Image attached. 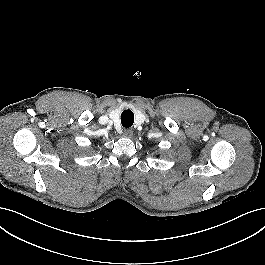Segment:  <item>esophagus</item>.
<instances>
[{
  "instance_id": "obj_1",
  "label": "esophagus",
  "mask_w": 265,
  "mask_h": 265,
  "mask_svg": "<svg viewBox=\"0 0 265 265\" xmlns=\"http://www.w3.org/2000/svg\"><path fill=\"white\" fill-rule=\"evenodd\" d=\"M123 136L126 137V138H131L133 136L132 129H126V130H124Z\"/></svg>"
}]
</instances>
